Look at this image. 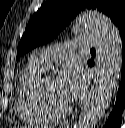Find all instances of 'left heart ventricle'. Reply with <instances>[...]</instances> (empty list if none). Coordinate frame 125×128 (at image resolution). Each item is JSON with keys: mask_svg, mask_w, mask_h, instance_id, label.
I'll return each instance as SVG.
<instances>
[{"mask_svg": "<svg viewBox=\"0 0 125 128\" xmlns=\"http://www.w3.org/2000/svg\"><path fill=\"white\" fill-rule=\"evenodd\" d=\"M44 93L48 102L54 107L62 108L70 105V102L66 99L59 87L57 77H52L46 82Z\"/></svg>", "mask_w": 125, "mask_h": 128, "instance_id": "1", "label": "left heart ventricle"}]
</instances>
